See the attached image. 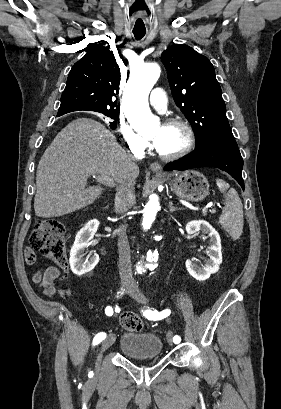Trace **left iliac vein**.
Wrapping results in <instances>:
<instances>
[{"mask_svg":"<svg viewBox=\"0 0 281 409\" xmlns=\"http://www.w3.org/2000/svg\"><path fill=\"white\" fill-rule=\"evenodd\" d=\"M127 293L134 299H136L138 302L145 304L147 302V298L144 296V294L140 291L136 283L132 282L128 289ZM167 341L170 345H173V333L168 332L167 333Z\"/></svg>","mask_w":281,"mask_h":409,"instance_id":"left-iliac-vein-1","label":"left iliac vein"}]
</instances>
